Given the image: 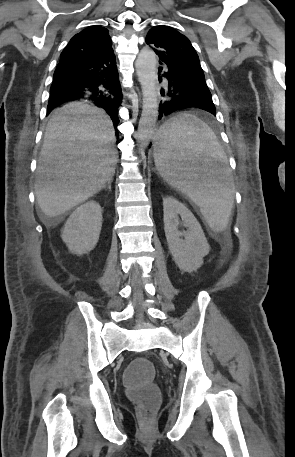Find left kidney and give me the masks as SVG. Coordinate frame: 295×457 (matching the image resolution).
<instances>
[{
  "label": "left kidney",
  "instance_id": "5707ae66",
  "mask_svg": "<svg viewBox=\"0 0 295 457\" xmlns=\"http://www.w3.org/2000/svg\"><path fill=\"white\" fill-rule=\"evenodd\" d=\"M163 212L165 235L175 263L185 272L196 271L210 251L201 225L192 212L173 197L163 199ZM178 216L188 228L187 231L178 230Z\"/></svg>",
  "mask_w": 295,
  "mask_h": 457
}]
</instances>
